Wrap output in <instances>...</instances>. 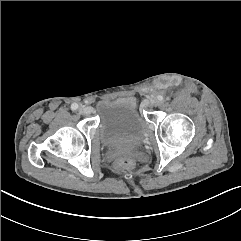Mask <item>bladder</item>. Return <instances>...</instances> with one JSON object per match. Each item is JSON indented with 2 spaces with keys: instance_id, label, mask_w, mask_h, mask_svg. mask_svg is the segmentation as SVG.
<instances>
[{
  "instance_id": "31cf9c89",
  "label": "bladder",
  "mask_w": 241,
  "mask_h": 241,
  "mask_svg": "<svg viewBox=\"0 0 241 241\" xmlns=\"http://www.w3.org/2000/svg\"><path fill=\"white\" fill-rule=\"evenodd\" d=\"M98 133L108 147L132 152L146 139V123L135 107L125 100H109L99 105Z\"/></svg>"
}]
</instances>
